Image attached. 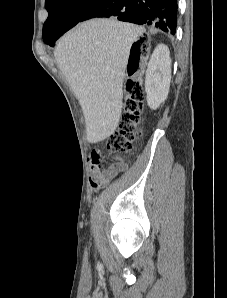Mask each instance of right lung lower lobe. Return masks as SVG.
Wrapping results in <instances>:
<instances>
[{
	"label": "right lung lower lobe",
	"instance_id": "98d812e1",
	"mask_svg": "<svg viewBox=\"0 0 227 298\" xmlns=\"http://www.w3.org/2000/svg\"><path fill=\"white\" fill-rule=\"evenodd\" d=\"M94 17H113L139 25H155L175 34L177 0H100L81 21ZM65 32H53L46 44L54 46L55 40Z\"/></svg>",
	"mask_w": 227,
	"mask_h": 298
}]
</instances>
